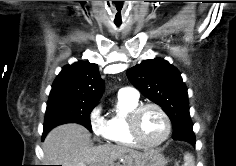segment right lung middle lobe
<instances>
[{
	"label": "right lung middle lobe",
	"instance_id": "right-lung-middle-lobe-1",
	"mask_svg": "<svg viewBox=\"0 0 236 166\" xmlns=\"http://www.w3.org/2000/svg\"><path fill=\"white\" fill-rule=\"evenodd\" d=\"M96 103L74 99H53L47 104L44 134L53 127L64 123H78L92 131L90 113Z\"/></svg>",
	"mask_w": 236,
	"mask_h": 166
}]
</instances>
